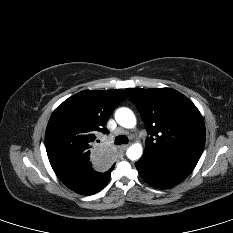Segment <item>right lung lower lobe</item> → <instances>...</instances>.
<instances>
[{"label": "right lung lower lobe", "instance_id": "98d812e1", "mask_svg": "<svg viewBox=\"0 0 233 233\" xmlns=\"http://www.w3.org/2000/svg\"><path fill=\"white\" fill-rule=\"evenodd\" d=\"M113 168L114 166L100 172L89 166L56 172V175L71 190L83 195H92L108 183Z\"/></svg>", "mask_w": 233, "mask_h": 233}]
</instances>
